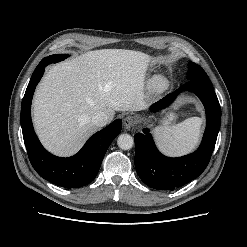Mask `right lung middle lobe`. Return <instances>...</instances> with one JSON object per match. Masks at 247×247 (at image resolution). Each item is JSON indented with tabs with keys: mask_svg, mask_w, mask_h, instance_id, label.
<instances>
[{
	"mask_svg": "<svg viewBox=\"0 0 247 247\" xmlns=\"http://www.w3.org/2000/svg\"><path fill=\"white\" fill-rule=\"evenodd\" d=\"M69 55L68 54H55V55H51V56H48V57H45L44 61H49L51 63H57L59 61H62L64 59H66Z\"/></svg>",
	"mask_w": 247,
	"mask_h": 247,
	"instance_id": "1",
	"label": "right lung middle lobe"
}]
</instances>
